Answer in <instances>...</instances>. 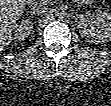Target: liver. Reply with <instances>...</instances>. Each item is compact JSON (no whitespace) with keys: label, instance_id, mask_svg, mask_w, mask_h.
Listing matches in <instances>:
<instances>
[{"label":"liver","instance_id":"liver-1","mask_svg":"<svg viewBox=\"0 0 111 106\" xmlns=\"http://www.w3.org/2000/svg\"><path fill=\"white\" fill-rule=\"evenodd\" d=\"M25 0L0 1V48L5 49L12 40L13 25L24 12Z\"/></svg>","mask_w":111,"mask_h":106}]
</instances>
